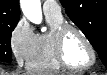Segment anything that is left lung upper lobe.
<instances>
[{"label":"left lung upper lobe","mask_w":107,"mask_h":75,"mask_svg":"<svg viewBox=\"0 0 107 75\" xmlns=\"http://www.w3.org/2000/svg\"><path fill=\"white\" fill-rule=\"evenodd\" d=\"M107 67V0H60Z\"/></svg>","instance_id":"1"}]
</instances>
